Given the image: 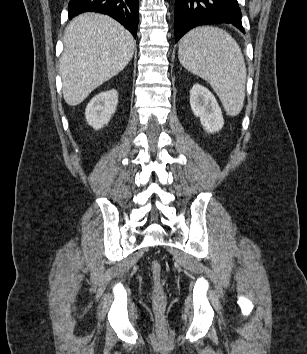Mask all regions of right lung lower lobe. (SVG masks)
<instances>
[{
    "label": "right lung lower lobe",
    "instance_id": "obj_1",
    "mask_svg": "<svg viewBox=\"0 0 307 354\" xmlns=\"http://www.w3.org/2000/svg\"><path fill=\"white\" fill-rule=\"evenodd\" d=\"M87 11L100 12L113 17L136 38L139 0H70L68 5L70 19Z\"/></svg>",
    "mask_w": 307,
    "mask_h": 354
}]
</instances>
